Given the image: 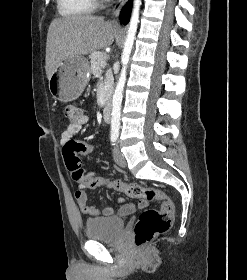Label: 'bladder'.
<instances>
[{
    "label": "bladder",
    "mask_w": 247,
    "mask_h": 280,
    "mask_svg": "<svg viewBox=\"0 0 247 280\" xmlns=\"http://www.w3.org/2000/svg\"><path fill=\"white\" fill-rule=\"evenodd\" d=\"M124 228V220L116 216L95 217L85 222V235L95 241H115Z\"/></svg>",
    "instance_id": "1"
}]
</instances>
